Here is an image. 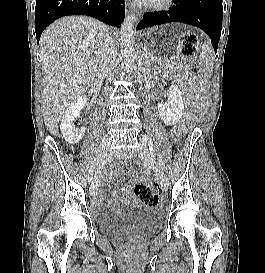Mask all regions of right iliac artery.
Listing matches in <instances>:
<instances>
[{"label":"right iliac artery","mask_w":265,"mask_h":273,"mask_svg":"<svg viewBox=\"0 0 265 273\" xmlns=\"http://www.w3.org/2000/svg\"><path fill=\"white\" fill-rule=\"evenodd\" d=\"M98 163H99L98 158H95L91 163L90 169L88 171V177H87L89 183L93 180L94 170H95L96 166L98 165Z\"/></svg>","instance_id":"1"}]
</instances>
